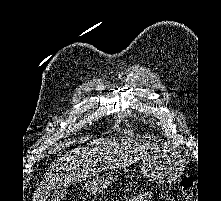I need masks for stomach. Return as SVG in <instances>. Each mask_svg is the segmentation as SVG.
Wrapping results in <instances>:
<instances>
[{
    "mask_svg": "<svg viewBox=\"0 0 221 201\" xmlns=\"http://www.w3.org/2000/svg\"><path fill=\"white\" fill-rule=\"evenodd\" d=\"M184 168L185 159L181 152L167 148L146 155L142 161L143 176L158 184L176 180L183 173ZM116 180V177H93L87 180L83 190L95 195Z\"/></svg>",
    "mask_w": 221,
    "mask_h": 201,
    "instance_id": "1",
    "label": "stomach"
}]
</instances>
